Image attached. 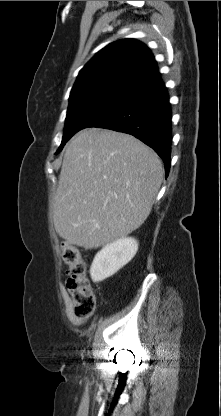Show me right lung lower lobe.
<instances>
[{"label":"right lung lower lobe","instance_id":"98d812e1","mask_svg":"<svg viewBox=\"0 0 221 416\" xmlns=\"http://www.w3.org/2000/svg\"><path fill=\"white\" fill-rule=\"evenodd\" d=\"M171 118L166 87L160 82L126 96L93 127L135 136L162 158L168 176L171 164Z\"/></svg>","mask_w":221,"mask_h":416}]
</instances>
